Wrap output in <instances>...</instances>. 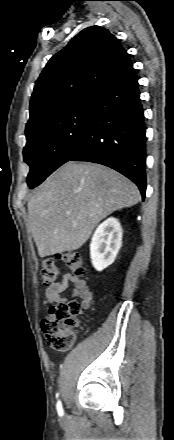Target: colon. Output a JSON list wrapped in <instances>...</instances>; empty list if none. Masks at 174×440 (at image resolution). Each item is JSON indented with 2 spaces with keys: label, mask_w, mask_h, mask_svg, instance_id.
I'll return each instance as SVG.
<instances>
[{
  "label": "colon",
  "mask_w": 174,
  "mask_h": 440,
  "mask_svg": "<svg viewBox=\"0 0 174 440\" xmlns=\"http://www.w3.org/2000/svg\"><path fill=\"white\" fill-rule=\"evenodd\" d=\"M55 260L64 261L76 276L85 275L82 257L78 252L58 253L54 257H46L42 260L41 275L46 286L57 281L58 270ZM79 313L80 304L77 301L57 304L49 309L47 316L42 321L41 328L50 348L62 351L73 345L75 329L79 326Z\"/></svg>",
  "instance_id": "1"
}]
</instances>
